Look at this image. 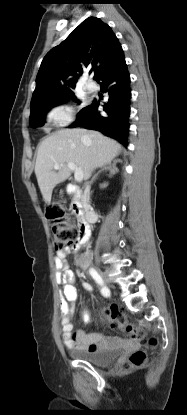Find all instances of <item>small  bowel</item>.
<instances>
[{
  "label": "small bowel",
  "mask_w": 187,
  "mask_h": 415,
  "mask_svg": "<svg viewBox=\"0 0 187 415\" xmlns=\"http://www.w3.org/2000/svg\"><path fill=\"white\" fill-rule=\"evenodd\" d=\"M77 247L78 246H74L63 251H58L55 257V265L58 269L56 274V281L58 284L63 285V297L60 301V310L62 313V336L64 344L68 348H78L87 351L102 350L111 345L112 341L104 338L98 333H85L83 330L74 331V327L71 322L78 294L74 286L75 274L69 268L67 262V254L70 251L76 250ZM77 274L79 276L84 275L81 270H78ZM83 286L86 291H92V287L89 283L85 282L83 283ZM82 320L85 323H89L90 314L87 311L83 312Z\"/></svg>",
  "instance_id": "obj_1"
}]
</instances>
